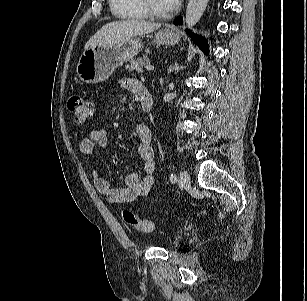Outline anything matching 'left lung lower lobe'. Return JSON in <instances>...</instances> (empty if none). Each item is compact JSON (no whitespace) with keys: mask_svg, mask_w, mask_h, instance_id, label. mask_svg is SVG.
<instances>
[{"mask_svg":"<svg viewBox=\"0 0 307 301\" xmlns=\"http://www.w3.org/2000/svg\"><path fill=\"white\" fill-rule=\"evenodd\" d=\"M182 22H183L182 17H178L175 19L174 24L180 25L182 24ZM187 33L191 36L193 41L208 55L209 52H208V44L206 39L198 35H195L190 30H187Z\"/></svg>","mask_w":307,"mask_h":301,"instance_id":"1","label":"left lung lower lobe"}]
</instances>
